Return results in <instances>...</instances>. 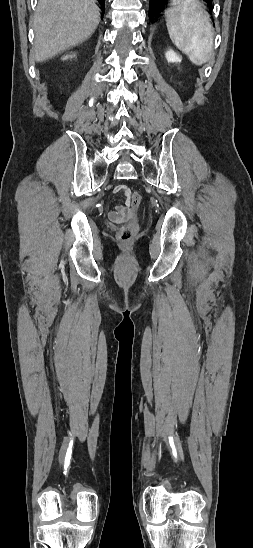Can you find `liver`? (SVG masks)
Listing matches in <instances>:
<instances>
[{
  "label": "liver",
  "mask_w": 253,
  "mask_h": 548,
  "mask_svg": "<svg viewBox=\"0 0 253 548\" xmlns=\"http://www.w3.org/2000/svg\"><path fill=\"white\" fill-rule=\"evenodd\" d=\"M100 22L95 0H39L33 20V57L46 61L83 43Z\"/></svg>",
  "instance_id": "obj_1"
}]
</instances>
